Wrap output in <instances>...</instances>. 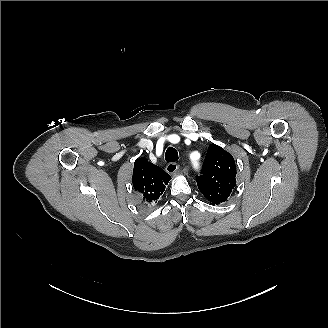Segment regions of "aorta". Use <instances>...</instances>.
Wrapping results in <instances>:
<instances>
[{
  "mask_svg": "<svg viewBox=\"0 0 328 328\" xmlns=\"http://www.w3.org/2000/svg\"><path fill=\"white\" fill-rule=\"evenodd\" d=\"M192 163H193L194 168L198 169L199 164L195 160H192Z\"/></svg>",
  "mask_w": 328,
  "mask_h": 328,
  "instance_id": "aorta-1",
  "label": "aorta"
}]
</instances>
